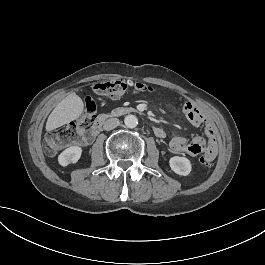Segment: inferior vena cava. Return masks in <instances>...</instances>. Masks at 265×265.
Listing matches in <instances>:
<instances>
[{"label":"inferior vena cava","mask_w":265,"mask_h":265,"mask_svg":"<svg viewBox=\"0 0 265 265\" xmlns=\"http://www.w3.org/2000/svg\"><path fill=\"white\" fill-rule=\"evenodd\" d=\"M119 125V119L117 118H109L104 121L103 129L104 130H112Z\"/></svg>","instance_id":"602c4592"}]
</instances>
